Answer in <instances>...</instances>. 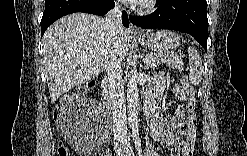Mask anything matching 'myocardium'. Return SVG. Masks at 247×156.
Masks as SVG:
<instances>
[{"label": "myocardium", "mask_w": 247, "mask_h": 156, "mask_svg": "<svg viewBox=\"0 0 247 156\" xmlns=\"http://www.w3.org/2000/svg\"><path fill=\"white\" fill-rule=\"evenodd\" d=\"M153 8V2H146L140 8L139 12L141 13H149Z\"/></svg>", "instance_id": "1"}]
</instances>
